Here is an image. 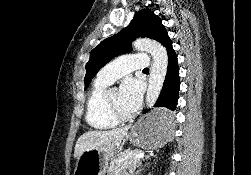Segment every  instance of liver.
<instances>
[{"instance_id": "liver-1", "label": "liver", "mask_w": 251, "mask_h": 175, "mask_svg": "<svg viewBox=\"0 0 251 175\" xmlns=\"http://www.w3.org/2000/svg\"><path fill=\"white\" fill-rule=\"evenodd\" d=\"M130 127L131 125H125V127H116V129H110V131H85L75 143V159H79L83 149L96 147V149L106 151V149H112L115 145H120Z\"/></svg>"}]
</instances>
